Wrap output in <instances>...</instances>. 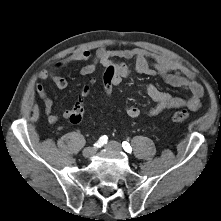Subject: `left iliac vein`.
I'll return each mask as SVG.
<instances>
[{
	"instance_id": "obj_1",
	"label": "left iliac vein",
	"mask_w": 221,
	"mask_h": 221,
	"mask_svg": "<svg viewBox=\"0 0 221 221\" xmlns=\"http://www.w3.org/2000/svg\"><path fill=\"white\" fill-rule=\"evenodd\" d=\"M105 148L116 153H119L122 150L121 144L116 141H110L105 145Z\"/></svg>"
}]
</instances>
